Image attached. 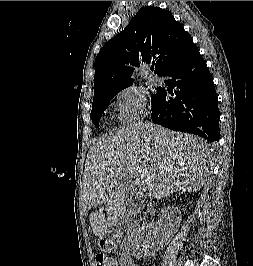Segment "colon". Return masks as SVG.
Returning a JSON list of instances; mask_svg holds the SVG:
<instances>
[{"mask_svg":"<svg viewBox=\"0 0 253 266\" xmlns=\"http://www.w3.org/2000/svg\"><path fill=\"white\" fill-rule=\"evenodd\" d=\"M95 266H116V262L107 255L97 254L95 257Z\"/></svg>","mask_w":253,"mask_h":266,"instance_id":"5ec220e1","label":"colon"}]
</instances>
